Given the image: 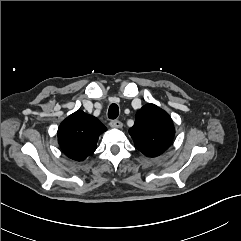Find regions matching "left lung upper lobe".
Here are the masks:
<instances>
[{"label": "left lung upper lobe", "instance_id": "5c2ea615", "mask_svg": "<svg viewBox=\"0 0 241 241\" xmlns=\"http://www.w3.org/2000/svg\"><path fill=\"white\" fill-rule=\"evenodd\" d=\"M129 133L139 151L147 157H157L171 145L175 129L168 113L149 103L137 111Z\"/></svg>", "mask_w": 241, "mask_h": 241}]
</instances>
